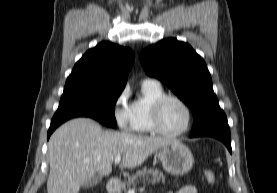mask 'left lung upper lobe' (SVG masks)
<instances>
[{
	"instance_id": "left-lung-upper-lobe-1",
	"label": "left lung upper lobe",
	"mask_w": 277,
	"mask_h": 193,
	"mask_svg": "<svg viewBox=\"0 0 277 193\" xmlns=\"http://www.w3.org/2000/svg\"><path fill=\"white\" fill-rule=\"evenodd\" d=\"M140 61L149 76L165 83L191 108L192 132L227 119L214 94L204 60L189 44L174 38L164 39L142 51Z\"/></svg>"
}]
</instances>
